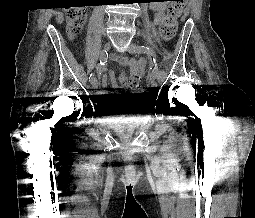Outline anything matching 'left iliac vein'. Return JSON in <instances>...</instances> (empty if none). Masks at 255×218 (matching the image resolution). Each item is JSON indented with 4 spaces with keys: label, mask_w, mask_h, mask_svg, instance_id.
I'll return each instance as SVG.
<instances>
[{
    "label": "left iliac vein",
    "mask_w": 255,
    "mask_h": 218,
    "mask_svg": "<svg viewBox=\"0 0 255 218\" xmlns=\"http://www.w3.org/2000/svg\"><path fill=\"white\" fill-rule=\"evenodd\" d=\"M137 48H138V45H136V44H131L130 46H129V51L131 52V53H137ZM156 85H157V83H156V81L155 80H150V83H149V86L150 87H156Z\"/></svg>",
    "instance_id": "1"
}]
</instances>
